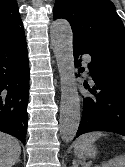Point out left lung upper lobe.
I'll use <instances>...</instances> for the list:
<instances>
[{"label":"left lung upper lobe","instance_id":"obj_1","mask_svg":"<svg viewBox=\"0 0 125 167\" xmlns=\"http://www.w3.org/2000/svg\"><path fill=\"white\" fill-rule=\"evenodd\" d=\"M53 18L70 23L73 43L125 57V28L110 0H56Z\"/></svg>","mask_w":125,"mask_h":167}]
</instances>
